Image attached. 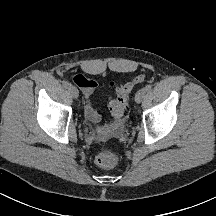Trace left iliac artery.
<instances>
[{"label": "left iliac artery", "instance_id": "obj_1", "mask_svg": "<svg viewBox=\"0 0 216 216\" xmlns=\"http://www.w3.org/2000/svg\"><path fill=\"white\" fill-rule=\"evenodd\" d=\"M144 89H145L146 92H150L151 89H152V86L151 85H147V86H145Z\"/></svg>", "mask_w": 216, "mask_h": 216}]
</instances>
